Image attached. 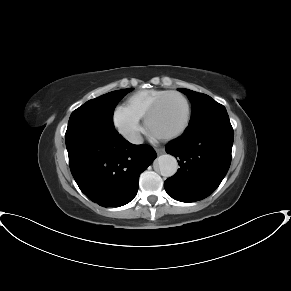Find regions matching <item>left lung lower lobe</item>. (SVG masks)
I'll list each match as a JSON object with an SVG mask.
<instances>
[{
	"mask_svg": "<svg viewBox=\"0 0 291 291\" xmlns=\"http://www.w3.org/2000/svg\"><path fill=\"white\" fill-rule=\"evenodd\" d=\"M233 145V128L226 113L187 128L166 145L180 168L164 187L169 196L181 202L199 201L215 191L225 177Z\"/></svg>",
	"mask_w": 291,
	"mask_h": 291,
	"instance_id": "left-lung-lower-lobe-1",
	"label": "left lung lower lobe"
}]
</instances>
